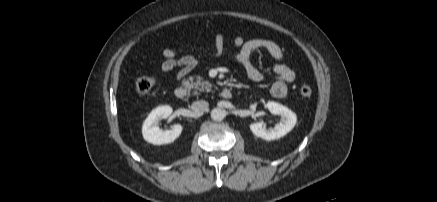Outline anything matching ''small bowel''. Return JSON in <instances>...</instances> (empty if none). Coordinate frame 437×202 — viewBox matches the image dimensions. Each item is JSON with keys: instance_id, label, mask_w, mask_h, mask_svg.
Segmentation results:
<instances>
[{"instance_id": "small-bowel-1", "label": "small bowel", "mask_w": 437, "mask_h": 202, "mask_svg": "<svg viewBox=\"0 0 437 202\" xmlns=\"http://www.w3.org/2000/svg\"><path fill=\"white\" fill-rule=\"evenodd\" d=\"M231 45L238 49L233 54L234 60L239 63L247 77L254 82H261L265 75L252 63V55L255 51L264 50L274 59L281 61L284 58L283 49L274 41L268 39L244 40L242 37H235ZM226 50V42L222 34L218 33L214 38L212 55L216 58L221 57ZM164 60L158 65L159 72L168 73L177 69L174 80L180 81L187 76L198 64L197 58L192 54L180 55L177 49L166 48L162 51ZM275 76L271 85V94L276 98H283L288 91V84L295 80L294 70L284 63L275 64L272 68Z\"/></svg>"}]
</instances>
